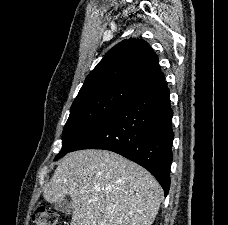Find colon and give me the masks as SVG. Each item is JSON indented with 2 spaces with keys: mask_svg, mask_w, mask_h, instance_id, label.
<instances>
[{
  "mask_svg": "<svg viewBox=\"0 0 228 225\" xmlns=\"http://www.w3.org/2000/svg\"><path fill=\"white\" fill-rule=\"evenodd\" d=\"M35 225H59L57 213L51 209L39 205L33 213Z\"/></svg>",
  "mask_w": 228,
  "mask_h": 225,
  "instance_id": "5ec220e1",
  "label": "colon"
}]
</instances>
